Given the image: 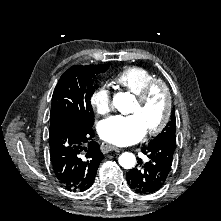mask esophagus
<instances>
[{"label": "esophagus", "instance_id": "34e87169", "mask_svg": "<svg viewBox=\"0 0 221 221\" xmlns=\"http://www.w3.org/2000/svg\"><path fill=\"white\" fill-rule=\"evenodd\" d=\"M121 149L119 147H116L114 145H111V144H108V143H103L101 145V151L103 153H107V152H110V151H120Z\"/></svg>", "mask_w": 221, "mask_h": 221}]
</instances>
